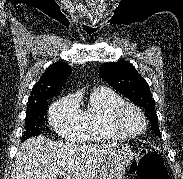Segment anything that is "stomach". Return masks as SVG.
Here are the masks:
<instances>
[{
    "mask_svg": "<svg viewBox=\"0 0 183 179\" xmlns=\"http://www.w3.org/2000/svg\"><path fill=\"white\" fill-rule=\"evenodd\" d=\"M133 158V152L128 145L114 146L103 160L96 179H123L125 170Z\"/></svg>",
    "mask_w": 183,
    "mask_h": 179,
    "instance_id": "0dacf381",
    "label": "stomach"
}]
</instances>
